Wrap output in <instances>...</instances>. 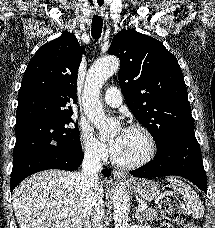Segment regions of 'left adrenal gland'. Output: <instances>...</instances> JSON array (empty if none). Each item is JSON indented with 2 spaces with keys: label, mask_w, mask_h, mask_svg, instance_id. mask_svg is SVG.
Masks as SVG:
<instances>
[{
  "label": "left adrenal gland",
  "mask_w": 215,
  "mask_h": 228,
  "mask_svg": "<svg viewBox=\"0 0 215 228\" xmlns=\"http://www.w3.org/2000/svg\"><path fill=\"white\" fill-rule=\"evenodd\" d=\"M135 218H136V220H138L139 224H144L145 220H144L143 216H141V214H139V212H136Z\"/></svg>",
  "instance_id": "left-adrenal-gland-1"
}]
</instances>
